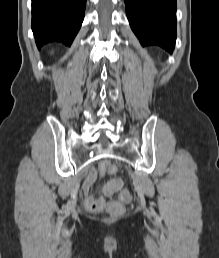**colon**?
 Masks as SVG:
<instances>
[{
    "label": "colon",
    "mask_w": 219,
    "mask_h": 258,
    "mask_svg": "<svg viewBox=\"0 0 219 258\" xmlns=\"http://www.w3.org/2000/svg\"><path fill=\"white\" fill-rule=\"evenodd\" d=\"M117 172V166L109 160H104L100 164V173L103 174H115ZM132 199L131 193L127 189H123L120 193L121 202H129ZM119 201H106L104 198L94 199L89 196L86 199V207L91 211H101L106 209L112 215H119L123 211L122 203Z\"/></svg>",
    "instance_id": "obj_1"
}]
</instances>
